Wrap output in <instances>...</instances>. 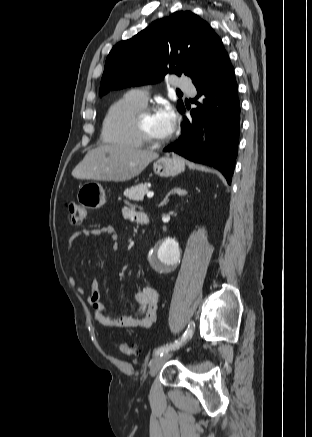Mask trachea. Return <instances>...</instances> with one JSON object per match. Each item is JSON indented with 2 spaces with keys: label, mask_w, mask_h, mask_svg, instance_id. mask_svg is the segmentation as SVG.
Returning a JSON list of instances; mask_svg holds the SVG:
<instances>
[{
  "label": "trachea",
  "mask_w": 312,
  "mask_h": 437,
  "mask_svg": "<svg viewBox=\"0 0 312 437\" xmlns=\"http://www.w3.org/2000/svg\"><path fill=\"white\" fill-rule=\"evenodd\" d=\"M177 94H182V92L180 90H177Z\"/></svg>",
  "instance_id": "3493384b"
}]
</instances>
